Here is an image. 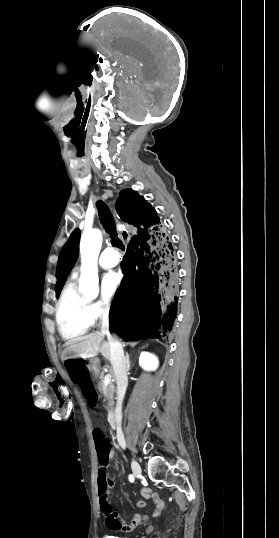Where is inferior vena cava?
<instances>
[{"instance_id":"602c4592","label":"inferior vena cava","mask_w":279,"mask_h":538,"mask_svg":"<svg viewBox=\"0 0 279 538\" xmlns=\"http://www.w3.org/2000/svg\"><path fill=\"white\" fill-rule=\"evenodd\" d=\"M108 313H109V310H101L99 312V316H100V319H102V334L104 335H107V338H109L110 340V355H111V359L110 360H113V368H114V371H115V375H116V378H117V385H118V404H117V409H116V417H115V422H117L118 426H117V438H118V442H119V445H121L123 448H125L126 446V443H125V440H124V436L122 434V430H121V401L123 399V396L125 394V391H126V387H127V368L129 366H126L127 362L128 361H123V358H124V352H123V349H122V343L123 342H120L121 340H118V335H110L109 333V322H108ZM126 369V370H125ZM119 436V437H118Z\"/></svg>"}]
</instances>
